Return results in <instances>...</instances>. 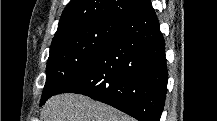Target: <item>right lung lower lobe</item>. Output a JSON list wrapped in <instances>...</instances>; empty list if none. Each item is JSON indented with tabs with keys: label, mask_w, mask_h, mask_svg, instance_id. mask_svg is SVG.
<instances>
[{
	"label": "right lung lower lobe",
	"mask_w": 217,
	"mask_h": 121,
	"mask_svg": "<svg viewBox=\"0 0 217 121\" xmlns=\"http://www.w3.org/2000/svg\"><path fill=\"white\" fill-rule=\"evenodd\" d=\"M167 81L165 41L150 4L128 20L99 56L54 95L80 93L139 121H159Z\"/></svg>",
	"instance_id": "98d812e1"
}]
</instances>
